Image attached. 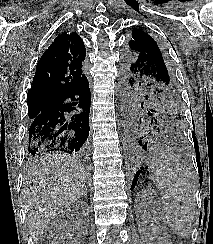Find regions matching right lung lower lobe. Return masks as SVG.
I'll return each mask as SVG.
<instances>
[{"label": "right lung lower lobe", "mask_w": 213, "mask_h": 244, "mask_svg": "<svg viewBox=\"0 0 213 244\" xmlns=\"http://www.w3.org/2000/svg\"><path fill=\"white\" fill-rule=\"evenodd\" d=\"M90 98L89 82L85 76L73 90L41 102L30 118L29 154L87 151ZM75 106L80 110L77 111ZM75 110L76 113L69 114Z\"/></svg>", "instance_id": "1"}]
</instances>
